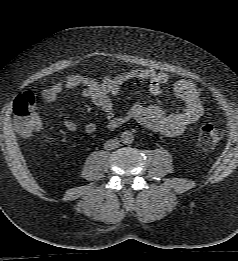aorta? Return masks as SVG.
<instances>
[{
  "label": "aorta",
  "instance_id": "obj_1",
  "mask_svg": "<svg viewBox=\"0 0 238 261\" xmlns=\"http://www.w3.org/2000/svg\"><path fill=\"white\" fill-rule=\"evenodd\" d=\"M134 141V135L130 131H124L121 135V142L123 144H131Z\"/></svg>",
  "mask_w": 238,
  "mask_h": 261
}]
</instances>
